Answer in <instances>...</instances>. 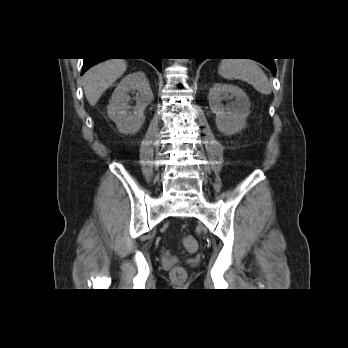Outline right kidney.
Returning <instances> with one entry per match:
<instances>
[{
    "label": "right kidney",
    "instance_id": "obj_1",
    "mask_svg": "<svg viewBox=\"0 0 348 348\" xmlns=\"http://www.w3.org/2000/svg\"><path fill=\"white\" fill-rule=\"evenodd\" d=\"M131 91L136 92V105L129 111ZM154 96L150 84L141 71L125 76L114 90L108 105V116L115 122L119 132L134 134L145 122L144 110L153 101Z\"/></svg>",
    "mask_w": 348,
    "mask_h": 348
}]
</instances>
